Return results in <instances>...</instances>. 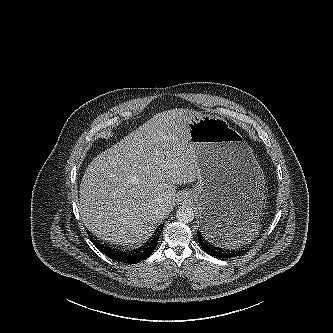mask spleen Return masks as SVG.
Instances as JSON below:
<instances>
[{
  "label": "spleen",
  "mask_w": 333,
  "mask_h": 333,
  "mask_svg": "<svg viewBox=\"0 0 333 333\" xmlns=\"http://www.w3.org/2000/svg\"><path fill=\"white\" fill-rule=\"evenodd\" d=\"M258 225H254L249 229H239V230H229L226 234V238L228 239V246H236L239 244H244L249 242L254 234L256 233Z\"/></svg>",
  "instance_id": "1"
}]
</instances>
